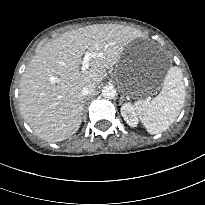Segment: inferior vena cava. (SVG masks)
<instances>
[{
  "label": "inferior vena cava",
  "instance_id": "obj_1",
  "mask_svg": "<svg viewBox=\"0 0 205 205\" xmlns=\"http://www.w3.org/2000/svg\"><path fill=\"white\" fill-rule=\"evenodd\" d=\"M95 85L94 84H87L83 86L81 89V94L83 97L93 94L95 92Z\"/></svg>",
  "mask_w": 205,
  "mask_h": 205
}]
</instances>
